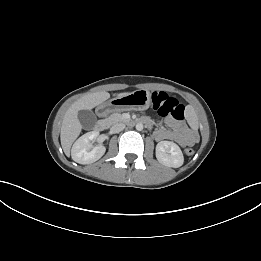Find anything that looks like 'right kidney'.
Here are the masks:
<instances>
[{
	"mask_svg": "<svg viewBox=\"0 0 261 261\" xmlns=\"http://www.w3.org/2000/svg\"><path fill=\"white\" fill-rule=\"evenodd\" d=\"M97 136V132H88L76 140L71 149V156L75 162L79 164H91L104 155L106 148L103 145L93 147L91 144Z\"/></svg>",
	"mask_w": 261,
	"mask_h": 261,
	"instance_id": "obj_1",
	"label": "right kidney"
}]
</instances>
